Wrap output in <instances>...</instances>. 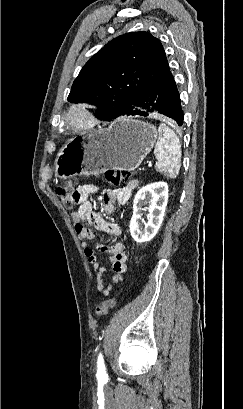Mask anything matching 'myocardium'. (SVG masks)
Returning <instances> with one entry per match:
<instances>
[{
    "instance_id": "obj_1",
    "label": "myocardium",
    "mask_w": 243,
    "mask_h": 409,
    "mask_svg": "<svg viewBox=\"0 0 243 409\" xmlns=\"http://www.w3.org/2000/svg\"><path fill=\"white\" fill-rule=\"evenodd\" d=\"M99 119L91 104L75 102L62 113L60 128L69 134H80L97 127Z\"/></svg>"
}]
</instances>
